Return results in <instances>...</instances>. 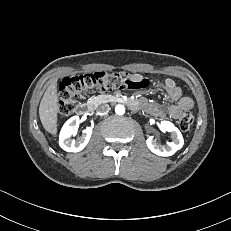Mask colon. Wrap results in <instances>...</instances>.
<instances>
[{"label": "colon", "instance_id": "5ec220e1", "mask_svg": "<svg viewBox=\"0 0 231 231\" xmlns=\"http://www.w3.org/2000/svg\"><path fill=\"white\" fill-rule=\"evenodd\" d=\"M149 85V80L143 78L137 81L128 72H93L65 78L59 85V114L68 115L79 100L93 92H108L115 89H140ZM194 117L190 111H185L179 119L182 131H188Z\"/></svg>", "mask_w": 231, "mask_h": 231}]
</instances>
